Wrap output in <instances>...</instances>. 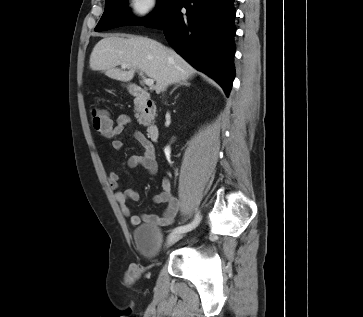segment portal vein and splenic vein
Masks as SVG:
<instances>
[{
    "instance_id": "18ae733b",
    "label": "portal vein and splenic vein",
    "mask_w": 363,
    "mask_h": 317,
    "mask_svg": "<svg viewBox=\"0 0 363 317\" xmlns=\"http://www.w3.org/2000/svg\"><path fill=\"white\" fill-rule=\"evenodd\" d=\"M121 67H122L123 69H125V68H127V67H128V65H127V64H121ZM140 75L142 76L143 81H144V83H145L147 86L152 87V86L154 85V80H153V79H150V78H146V77H144L142 73H140Z\"/></svg>"
}]
</instances>
